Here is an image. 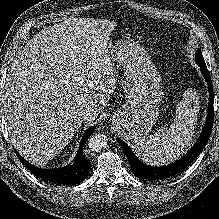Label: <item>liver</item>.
<instances>
[{
	"label": "liver",
	"instance_id": "1",
	"mask_svg": "<svg viewBox=\"0 0 219 219\" xmlns=\"http://www.w3.org/2000/svg\"><path fill=\"white\" fill-rule=\"evenodd\" d=\"M116 23L67 18L42 29L20 51L6 78L4 113L11 141L35 165L53 159L82 122L91 124L116 86L109 35ZM91 109L95 118L79 113Z\"/></svg>",
	"mask_w": 219,
	"mask_h": 219
}]
</instances>
